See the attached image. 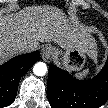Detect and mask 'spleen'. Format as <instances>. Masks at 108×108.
<instances>
[{"mask_svg": "<svg viewBox=\"0 0 108 108\" xmlns=\"http://www.w3.org/2000/svg\"><path fill=\"white\" fill-rule=\"evenodd\" d=\"M90 73L89 69H85L80 73L75 74V77L78 79H83L85 78L88 74Z\"/></svg>", "mask_w": 108, "mask_h": 108, "instance_id": "spleen-1", "label": "spleen"}]
</instances>
